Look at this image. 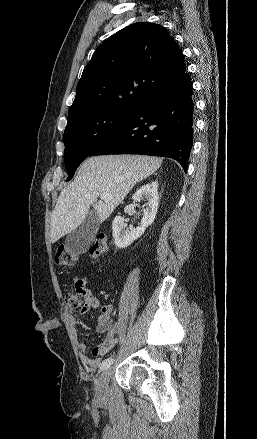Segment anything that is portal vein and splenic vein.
<instances>
[{
  "instance_id": "18ae733b",
  "label": "portal vein and splenic vein",
  "mask_w": 257,
  "mask_h": 439,
  "mask_svg": "<svg viewBox=\"0 0 257 439\" xmlns=\"http://www.w3.org/2000/svg\"><path fill=\"white\" fill-rule=\"evenodd\" d=\"M100 198H101V200H105V201H108V200L112 199V197L109 194H106V193L101 194Z\"/></svg>"
}]
</instances>
